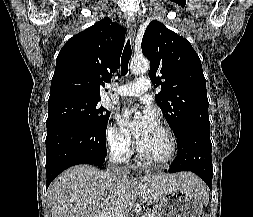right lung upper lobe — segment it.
<instances>
[{"label": "right lung upper lobe", "instance_id": "cb5924a9", "mask_svg": "<svg viewBox=\"0 0 253 217\" xmlns=\"http://www.w3.org/2000/svg\"><path fill=\"white\" fill-rule=\"evenodd\" d=\"M124 41L125 29L107 17L70 38L58 54L48 103L100 99V84L109 82L118 68Z\"/></svg>", "mask_w": 253, "mask_h": 217}]
</instances>
